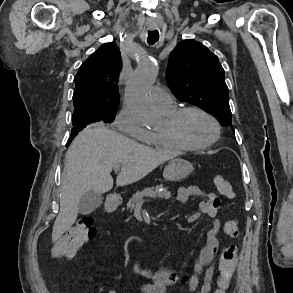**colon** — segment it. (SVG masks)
I'll use <instances>...</instances> for the list:
<instances>
[{
    "instance_id": "5ec220e1",
    "label": "colon",
    "mask_w": 293,
    "mask_h": 293,
    "mask_svg": "<svg viewBox=\"0 0 293 293\" xmlns=\"http://www.w3.org/2000/svg\"><path fill=\"white\" fill-rule=\"evenodd\" d=\"M214 184L217 190L226 198L234 199L236 194L231 183L222 176H215ZM223 233L229 238L238 236V222L228 220L223 226ZM97 234L95 221L90 216L81 217L53 246L52 255L55 258H71L78 247L92 239ZM237 262V247L228 245L222 252L218 269L217 287L214 293H226Z\"/></svg>"
}]
</instances>
